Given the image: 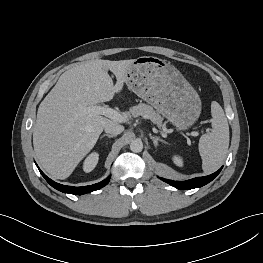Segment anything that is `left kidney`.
Here are the masks:
<instances>
[{
	"mask_svg": "<svg viewBox=\"0 0 263 263\" xmlns=\"http://www.w3.org/2000/svg\"><path fill=\"white\" fill-rule=\"evenodd\" d=\"M172 160L174 162L175 165L179 166V167H182L183 166V158L179 155H174L172 157Z\"/></svg>",
	"mask_w": 263,
	"mask_h": 263,
	"instance_id": "obj_1",
	"label": "left kidney"
}]
</instances>
